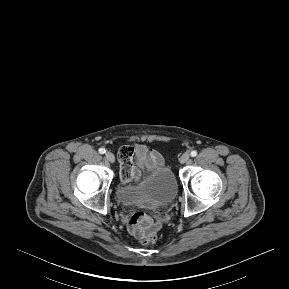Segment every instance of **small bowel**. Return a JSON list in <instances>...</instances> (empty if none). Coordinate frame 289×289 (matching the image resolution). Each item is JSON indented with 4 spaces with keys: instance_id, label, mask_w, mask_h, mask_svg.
Wrapping results in <instances>:
<instances>
[{
    "instance_id": "c3829d8e",
    "label": "small bowel",
    "mask_w": 289,
    "mask_h": 289,
    "mask_svg": "<svg viewBox=\"0 0 289 289\" xmlns=\"http://www.w3.org/2000/svg\"><path fill=\"white\" fill-rule=\"evenodd\" d=\"M140 154L151 165L164 164L161 154L153 149H148L143 146L139 148L124 146L119 151L121 183L127 184L132 181H137L140 178L141 172L136 164V158H138ZM160 226V222H153L148 216L140 217L138 213L133 214L127 219V229L129 233L138 239H142L151 231H157Z\"/></svg>"
}]
</instances>
